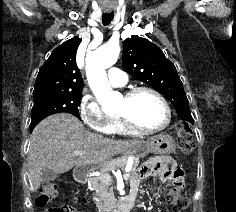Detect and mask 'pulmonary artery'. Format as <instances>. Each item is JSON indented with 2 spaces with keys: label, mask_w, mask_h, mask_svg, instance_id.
<instances>
[{
  "label": "pulmonary artery",
  "mask_w": 236,
  "mask_h": 212,
  "mask_svg": "<svg viewBox=\"0 0 236 212\" xmlns=\"http://www.w3.org/2000/svg\"><path fill=\"white\" fill-rule=\"evenodd\" d=\"M108 81L111 86L121 87L127 84L128 77L124 71L112 67L108 70Z\"/></svg>",
  "instance_id": "e3ab8cb5"
}]
</instances>
